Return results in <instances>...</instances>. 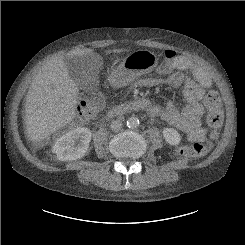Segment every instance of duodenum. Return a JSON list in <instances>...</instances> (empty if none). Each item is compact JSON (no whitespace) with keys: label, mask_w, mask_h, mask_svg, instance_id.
<instances>
[{"label":"duodenum","mask_w":245,"mask_h":245,"mask_svg":"<svg viewBox=\"0 0 245 245\" xmlns=\"http://www.w3.org/2000/svg\"><path fill=\"white\" fill-rule=\"evenodd\" d=\"M154 108V105L151 101L146 99H138L132 103L125 104L123 106L110 109L107 114V119H119L125 115L139 112V111H147Z\"/></svg>","instance_id":"1"}]
</instances>
